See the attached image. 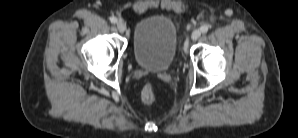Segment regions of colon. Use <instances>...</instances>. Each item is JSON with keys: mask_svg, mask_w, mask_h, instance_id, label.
Listing matches in <instances>:
<instances>
[{"mask_svg": "<svg viewBox=\"0 0 298 138\" xmlns=\"http://www.w3.org/2000/svg\"><path fill=\"white\" fill-rule=\"evenodd\" d=\"M155 97L156 94L153 86L150 84L145 85L141 93L142 101L145 104H152L155 101Z\"/></svg>", "mask_w": 298, "mask_h": 138, "instance_id": "5ec220e1", "label": "colon"}]
</instances>
